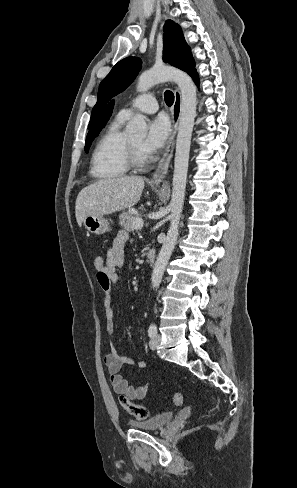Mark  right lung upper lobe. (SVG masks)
I'll return each mask as SVG.
<instances>
[{
    "label": "right lung upper lobe",
    "mask_w": 297,
    "mask_h": 488,
    "mask_svg": "<svg viewBox=\"0 0 297 488\" xmlns=\"http://www.w3.org/2000/svg\"><path fill=\"white\" fill-rule=\"evenodd\" d=\"M114 102L111 101L105 110L101 113L98 119L95 121L94 125L92 126L91 130L89 131L87 137L92 136L99 128L103 127L106 122L109 120L112 110H113Z\"/></svg>",
    "instance_id": "obj_1"
}]
</instances>
